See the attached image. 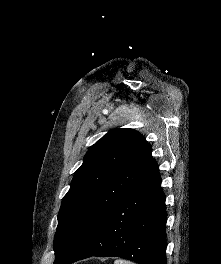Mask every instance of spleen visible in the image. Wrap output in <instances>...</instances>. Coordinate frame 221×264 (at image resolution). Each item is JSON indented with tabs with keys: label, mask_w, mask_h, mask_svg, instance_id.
Wrapping results in <instances>:
<instances>
[{
	"label": "spleen",
	"mask_w": 221,
	"mask_h": 264,
	"mask_svg": "<svg viewBox=\"0 0 221 264\" xmlns=\"http://www.w3.org/2000/svg\"><path fill=\"white\" fill-rule=\"evenodd\" d=\"M114 264H134V263L124 260V259H117L115 260Z\"/></svg>",
	"instance_id": "1"
}]
</instances>
